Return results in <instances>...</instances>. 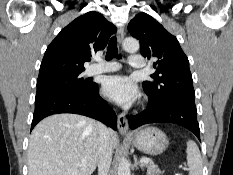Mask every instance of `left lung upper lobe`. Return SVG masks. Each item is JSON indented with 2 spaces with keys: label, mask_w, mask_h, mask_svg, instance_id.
I'll return each mask as SVG.
<instances>
[{
  "label": "left lung upper lobe",
  "mask_w": 233,
  "mask_h": 175,
  "mask_svg": "<svg viewBox=\"0 0 233 175\" xmlns=\"http://www.w3.org/2000/svg\"><path fill=\"white\" fill-rule=\"evenodd\" d=\"M128 30L140 41L142 56L156 58L153 81L143 82L149 101L160 106L175 97L195 98L189 61L177 38L146 13L136 15Z\"/></svg>",
  "instance_id": "left-lung-upper-lobe-1"
}]
</instances>
